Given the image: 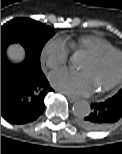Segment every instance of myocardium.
<instances>
[{"label":"myocardium","mask_w":122,"mask_h":154,"mask_svg":"<svg viewBox=\"0 0 122 154\" xmlns=\"http://www.w3.org/2000/svg\"><path fill=\"white\" fill-rule=\"evenodd\" d=\"M116 55L120 58V70L117 77L107 86L100 88L97 90L98 93H106L116 87H118L122 83V51L118 49H108L101 51L99 53L90 54L89 58L96 63H101L110 56Z\"/></svg>","instance_id":"1"}]
</instances>
